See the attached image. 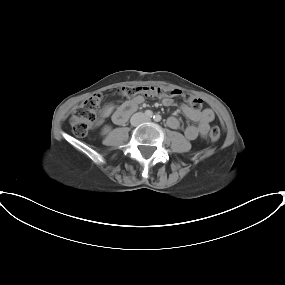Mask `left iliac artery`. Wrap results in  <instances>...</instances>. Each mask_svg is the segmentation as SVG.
Here are the masks:
<instances>
[{
	"label": "left iliac artery",
	"mask_w": 285,
	"mask_h": 285,
	"mask_svg": "<svg viewBox=\"0 0 285 285\" xmlns=\"http://www.w3.org/2000/svg\"><path fill=\"white\" fill-rule=\"evenodd\" d=\"M154 121L159 122L161 120V116L156 114L153 116Z\"/></svg>",
	"instance_id": "obj_1"
}]
</instances>
